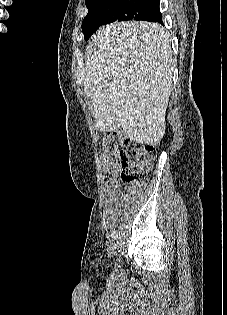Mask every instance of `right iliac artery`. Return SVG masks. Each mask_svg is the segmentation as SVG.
Wrapping results in <instances>:
<instances>
[{
	"instance_id": "right-iliac-artery-1",
	"label": "right iliac artery",
	"mask_w": 227,
	"mask_h": 315,
	"mask_svg": "<svg viewBox=\"0 0 227 315\" xmlns=\"http://www.w3.org/2000/svg\"><path fill=\"white\" fill-rule=\"evenodd\" d=\"M112 237L114 239L118 238V232L117 231H113Z\"/></svg>"
}]
</instances>
